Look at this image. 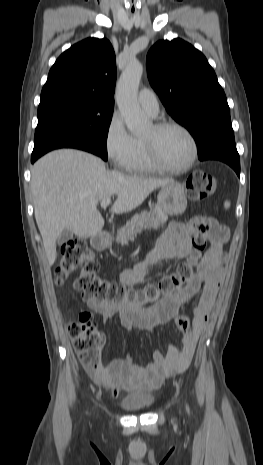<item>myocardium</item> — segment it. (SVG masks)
<instances>
[{"label":"myocardium","instance_id":"f54148a6","mask_svg":"<svg viewBox=\"0 0 263 465\" xmlns=\"http://www.w3.org/2000/svg\"><path fill=\"white\" fill-rule=\"evenodd\" d=\"M152 127L156 133H159L168 128H176L182 131L189 138L191 142L192 154L189 160L185 164L181 166H171V165L164 163L161 160V158L159 157L158 151H157L155 141L153 139L142 138V142H143V145L146 151V155L151 165L157 170L169 172V173H180V172L188 171L196 162L198 158V154H199V146H198V142L194 134L183 124L176 122V121H171V120L156 122L152 125Z\"/></svg>","mask_w":263,"mask_h":465}]
</instances>
